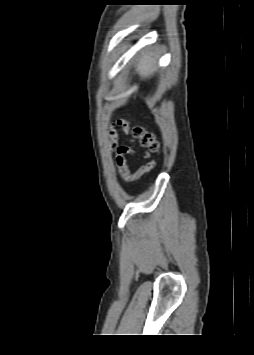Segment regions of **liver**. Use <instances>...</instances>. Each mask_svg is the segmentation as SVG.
Returning a JSON list of instances; mask_svg holds the SVG:
<instances>
[{"label": "liver", "instance_id": "6515ba94", "mask_svg": "<svg viewBox=\"0 0 254 355\" xmlns=\"http://www.w3.org/2000/svg\"><path fill=\"white\" fill-rule=\"evenodd\" d=\"M155 70V59L151 58L150 53H143L142 57L138 61L136 71L143 77H149Z\"/></svg>", "mask_w": 254, "mask_h": 355}]
</instances>
